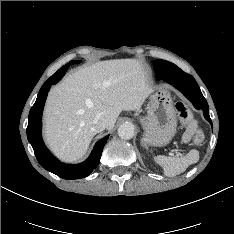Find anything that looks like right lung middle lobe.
Masks as SVG:
<instances>
[{
  "label": "right lung middle lobe",
  "mask_w": 234,
  "mask_h": 234,
  "mask_svg": "<svg viewBox=\"0 0 234 234\" xmlns=\"http://www.w3.org/2000/svg\"><path fill=\"white\" fill-rule=\"evenodd\" d=\"M80 61H70V64L79 63Z\"/></svg>",
  "instance_id": "1"
}]
</instances>
